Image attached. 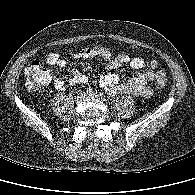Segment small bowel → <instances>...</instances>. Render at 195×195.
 I'll return each instance as SVG.
<instances>
[{"label":"small bowel","mask_w":195,"mask_h":195,"mask_svg":"<svg viewBox=\"0 0 195 195\" xmlns=\"http://www.w3.org/2000/svg\"><path fill=\"white\" fill-rule=\"evenodd\" d=\"M49 57L53 59V65H56L60 69L66 67V62L60 58L59 54L53 53ZM95 57H101L106 62L108 69H115L123 64H127L136 70L142 69L125 82H120L116 74L101 75L99 83L110 95L129 93L148 97L152 94V90L147 87L148 81L157 80L160 75L166 74L165 71L158 70L157 60L145 61L141 57H132L131 54L126 51L112 54L107 49L93 48L83 49L75 54V58L77 59H91ZM52 82L57 89H65L68 86L87 83L88 76L79 70H74L72 78L68 82L58 77L54 78Z\"/></svg>","instance_id":"c3829d8e"}]
</instances>
